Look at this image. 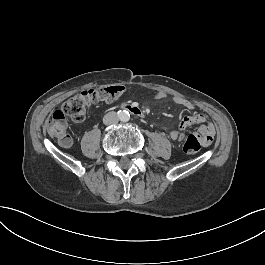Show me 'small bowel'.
Returning <instances> with one entry per match:
<instances>
[{"mask_svg": "<svg viewBox=\"0 0 265 265\" xmlns=\"http://www.w3.org/2000/svg\"><path fill=\"white\" fill-rule=\"evenodd\" d=\"M167 95L164 92H157L154 95V99H164ZM172 101L175 105L183 107L188 111H194L196 106L182 98L180 96H173ZM198 126V132L202 137V141L205 145H209L214 137L215 134V127L214 125L208 120L207 116L203 113H195L192 115L184 116L179 121V129L173 130L170 133V137L173 141H181L184 138L183 130L189 128L191 126Z\"/></svg>", "mask_w": 265, "mask_h": 265, "instance_id": "obj_1", "label": "small bowel"}]
</instances>
